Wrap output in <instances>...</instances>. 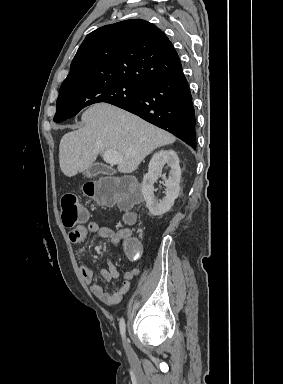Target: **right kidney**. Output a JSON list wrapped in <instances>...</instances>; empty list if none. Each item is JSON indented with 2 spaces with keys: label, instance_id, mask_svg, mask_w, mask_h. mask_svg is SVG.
<instances>
[{
  "label": "right kidney",
  "instance_id": "right-kidney-1",
  "mask_svg": "<svg viewBox=\"0 0 283 384\" xmlns=\"http://www.w3.org/2000/svg\"><path fill=\"white\" fill-rule=\"evenodd\" d=\"M165 164H168L169 168H171L168 178L163 174L164 186H166L165 198L157 200L154 196L153 184L161 176V168H164ZM148 168V174H145L142 182L144 200L151 216H160L162 218L163 214L171 210L176 198L179 196L181 178L179 158L174 150H160V152H156L152 156Z\"/></svg>",
  "mask_w": 283,
  "mask_h": 384
}]
</instances>
